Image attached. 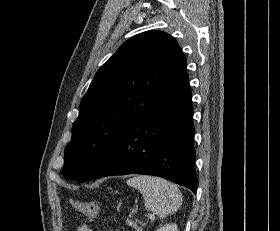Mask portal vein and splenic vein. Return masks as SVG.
Wrapping results in <instances>:
<instances>
[{
	"label": "portal vein and splenic vein",
	"mask_w": 280,
	"mask_h": 231,
	"mask_svg": "<svg viewBox=\"0 0 280 231\" xmlns=\"http://www.w3.org/2000/svg\"><path fill=\"white\" fill-rule=\"evenodd\" d=\"M151 219H154V213H150Z\"/></svg>",
	"instance_id": "1"
}]
</instances>
